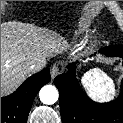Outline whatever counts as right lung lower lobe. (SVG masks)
Here are the masks:
<instances>
[{"mask_svg":"<svg viewBox=\"0 0 123 123\" xmlns=\"http://www.w3.org/2000/svg\"><path fill=\"white\" fill-rule=\"evenodd\" d=\"M50 81L49 69L29 77L13 94L1 98V123H27L37 92Z\"/></svg>","mask_w":123,"mask_h":123,"instance_id":"obj_1","label":"right lung lower lobe"}]
</instances>
